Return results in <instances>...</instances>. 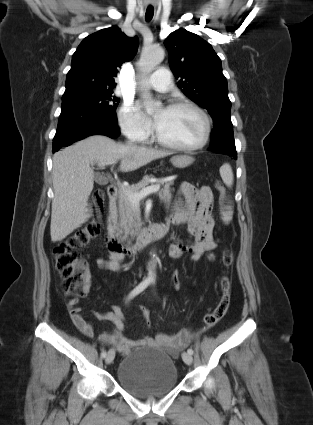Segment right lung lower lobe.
<instances>
[{
    "instance_id": "right-lung-lower-lobe-1",
    "label": "right lung lower lobe",
    "mask_w": 313,
    "mask_h": 425,
    "mask_svg": "<svg viewBox=\"0 0 313 425\" xmlns=\"http://www.w3.org/2000/svg\"><path fill=\"white\" fill-rule=\"evenodd\" d=\"M91 135L118 137L120 132L116 115L81 105H62L53 139V152Z\"/></svg>"
}]
</instances>
